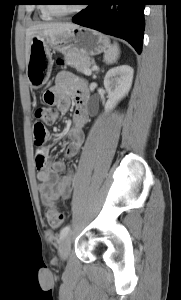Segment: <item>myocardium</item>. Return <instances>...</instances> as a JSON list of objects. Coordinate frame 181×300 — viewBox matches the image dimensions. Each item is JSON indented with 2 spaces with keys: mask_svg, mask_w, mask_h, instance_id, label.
I'll list each match as a JSON object with an SVG mask.
<instances>
[{
  "mask_svg": "<svg viewBox=\"0 0 181 300\" xmlns=\"http://www.w3.org/2000/svg\"><path fill=\"white\" fill-rule=\"evenodd\" d=\"M51 2L52 1L47 0L46 8H47V11L54 17L61 18V17L70 16V15L77 13L79 10L78 8H73L69 11H59L56 9L55 5L52 4Z\"/></svg>",
  "mask_w": 181,
  "mask_h": 300,
  "instance_id": "f54148a6",
  "label": "myocardium"
}]
</instances>
